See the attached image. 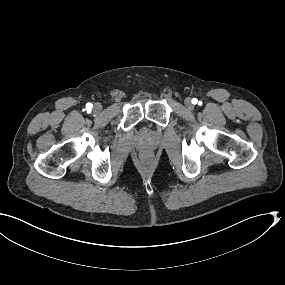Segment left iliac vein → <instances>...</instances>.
<instances>
[{
	"label": "left iliac vein",
	"instance_id": "left-iliac-vein-1",
	"mask_svg": "<svg viewBox=\"0 0 285 285\" xmlns=\"http://www.w3.org/2000/svg\"><path fill=\"white\" fill-rule=\"evenodd\" d=\"M185 106L189 109V110H192L194 108L192 102H191V99L190 98H186L185 99Z\"/></svg>",
	"mask_w": 285,
	"mask_h": 285
}]
</instances>
